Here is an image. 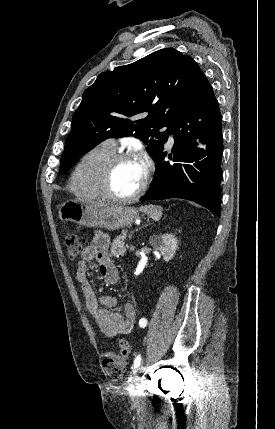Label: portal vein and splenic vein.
Masks as SVG:
<instances>
[{
  "label": "portal vein and splenic vein",
  "mask_w": 275,
  "mask_h": 429,
  "mask_svg": "<svg viewBox=\"0 0 275 429\" xmlns=\"http://www.w3.org/2000/svg\"><path fill=\"white\" fill-rule=\"evenodd\" d=\"M125 236H126V233H123V238H125Z\"/></svg>",
  "instance_id": "1"
}]
</instances>
